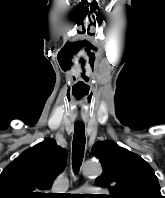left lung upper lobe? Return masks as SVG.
<instances>
[{
    "label": "left lung upper lobe",
    "mask_w": 165,
    "mask_h": 198,
    "mask_svg": "<svg viewBox=\"0 0 165 198\" xmlns=\"http://www.w3.org/2000/svg\"><path fill=\"white\" fill-rule=\"evenodd\" d=\"M92 153L103 167L95 184L109 189L106 198H164L154 170L139 155L109 140L96 142Z\"/></svg>",
    "instance_id": "left-lung-upper-lobe-1"
}]
</instances>
